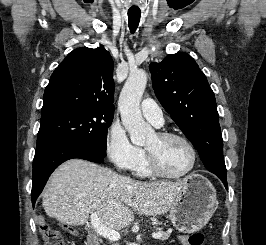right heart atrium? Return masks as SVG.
Listing matches in <instances>:
<instances>
[{"label":"right heart atrium","mask_w":266,"mask_h":245,"mask_svg":"<svg viewBox=\"0 0 266 245\" xmlns=\"http://www.w3.org/2000/svg\"><path fill=\"white\" fill-rule=\"evenodd\" d=\"M105 151L108 158L118 167L134 170L143 159V151L129 139L124 128L112 123L106 132Z\"/></svg>","instance_id":"d8ad5b80"}]
</instances>
